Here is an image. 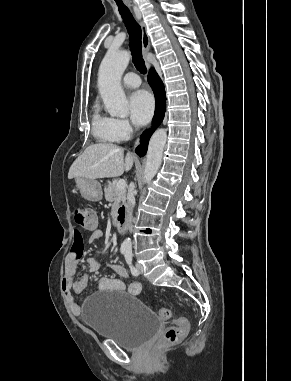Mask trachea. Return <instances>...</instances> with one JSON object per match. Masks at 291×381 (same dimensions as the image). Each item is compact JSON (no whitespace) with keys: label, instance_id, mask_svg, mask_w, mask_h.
Here are the masks:
<instances>
[{"label":"trachea","instance_id":"1","mask_svg":"<svg viewBox=\"0 0 291 381\" xmlns=\"http://www.w3.org/2000/svg\"><path fill=\"white\" fill-rule=\"evenodd\" d=\"M116 4L118 6L120 15L123 18V21L126 25V28L129 33V40H130V49L132 54V61L136 67V69L141 74H146L147 69L144 63V60L142 58V33H141V27L140 25L135 21L134 17L132 16L131 12L127 8V6L124 5V3L121 1L116 0Z\"/></svg>","mask_w":291,"mask_h":381}]
</instances>
